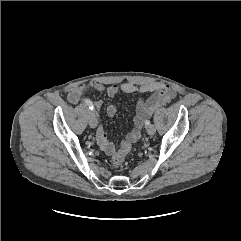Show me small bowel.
Returning a JSON list of instances; mask_svg holds the SVG:
<instances>
[{"label": "small bowel", "instance_id": "1", "mask_svg": "<svg viewBox=\"0 0 241 241\" xmlns=\"http://www.w3.org/2000/svg\"><path fill=\"white\" fill-rule=\"evenodd\" d=\"M89 90L106 92L109 97H115L121 92L139 95L148 93L153 94L147 100L140 99L137 103L136 115L133 119L134 127L128 133L125 139V141L130 144L135 143L139 139L145 119L148 118L156 108L169 103L176 96V91L173 87L160 82H153L143 85H135L133 83L125 82L116 85H110L108 87H105L100 83H89L72 88L68 94V101L71 104H77L81 97ZM94 105L99 110L102 107V102L95 101ZM106 113L109 116H114L117 113L116 105L109 104L106 107ZM96 140L99 147L107 155H112L117 150V145L108 140L107 135L101 126L98 127L96 131Z\"/></svg>", "mask_w": 241, "mask_h": 241}]
</instances>
